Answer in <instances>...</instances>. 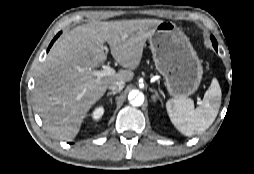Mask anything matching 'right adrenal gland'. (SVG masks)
Instances as JSON below:
<instances>
[{
	"label": "right adrenal gland",
	"instance_id": "right-adrenal-gland-1",
	"mask_svg": "<svg viewBox=\"0 0 254 174\" xmlns=\"http://www.w3.org/2000/svg\"><path fill=\"white\" fill-rule=\"evenodd\" d=\"M116 93H117V92H115V91H114V92H108V93H107V97H109V96H111V95L114 96ZM110 102L112 103V99H110Z\"/></svg>",
	"mask_w": 254,
	"mask_h": 174
}]
</instances>
